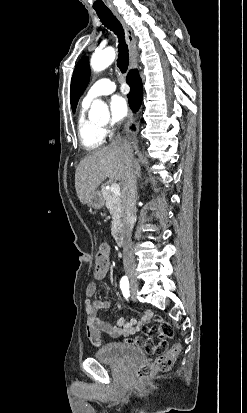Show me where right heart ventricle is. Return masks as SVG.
<instances>
[{"mask_svg": "<svg viewBox=\"0 0 247 413\" xmlns=\"http://www.w3.org/2000/svg\"><path fill=\"white\" fill-rule=\"evenodd\" d=\"M78 136L86 151H99L104 141V131L92 121L81 117L78 125Z\"/></svg>", "mask_w": 247, "mask_h": 413, "instance_id": "obj_1", "label": "right heart ventricle"}]
</instances>
